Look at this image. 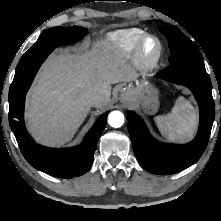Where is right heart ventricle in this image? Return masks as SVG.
Segmentation results:
<instances>
[{"label": "right heart ventricle", "instance_id": "right-heart-ventricle-1", "mask_svg": "<svg viewBox=\"0 0 221 221\" xmlns=\"http://www.w3.org/2000/svg\"><path fill=\"white\" fill-rule=\"evenodd\" d=\"M145 34L144 30L138 28L120 30L110 36V42L115 51L127 54L137 47Z\"/></svg>", "mask_w": 221, "mask_h": 221}]
</instances>
